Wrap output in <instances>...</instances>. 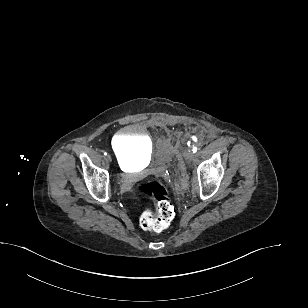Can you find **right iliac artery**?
<instances>
[{
    "label": "right iliac artery",
    "instance_id": "82829eb1",
    "mask_svg": "<svg viewBox=\"0 0 308 308\" xmlns=\"http://www.w3.org/2000/svg\"><path fill=\"white\" fill-rule=\"evenodd\" d=\"M104 155H107V153H106V152H104Z\"/></svg>",
    "mask_w": 308,
    "mask_h": 308
}]
</instances>
